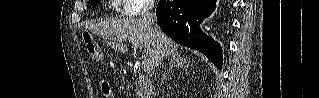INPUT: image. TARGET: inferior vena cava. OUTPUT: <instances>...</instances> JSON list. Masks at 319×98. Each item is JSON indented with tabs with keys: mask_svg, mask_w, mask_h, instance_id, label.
Here are the masks:
<instances>
[{
	"mask_svg": "<svg viewBox=\"0 0 319 98\" xmlns=\"http://www.w3.org/2000/svg\"><path fill=\"white\" fill-rule=\"evenodd\" d=\"M154 1L146 0L143 10H142V20L144 21L146 27L151 33H155L158 29L156 25V15L153 12Z\"/></svg>",
	"mask_w": 319,
	"mask_h": 98,
	"instance_id": "inferior-vena-cava-1",
	"label": "inferior vena cava"
}]
</instances>
